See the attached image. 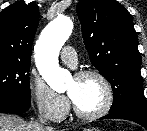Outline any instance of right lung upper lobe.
Instances as JSON below:
<instances>
[{
  "mask_svg": "<svg viewBox=\"0 0 147 131\" xmlns=\"http://www.w3.org/2000/svg\"><path fill=\"white\" fill-rule=\"evenodd\" d=\"M39 23L35 2L20 1L0 13V60L30 62Z\"/></svg>",
  "mask_w": 147,
  "mask_h": 131,
  "instance_id": "obj_1",
  "label": "right lung upper lobe"
}]
</instances>
